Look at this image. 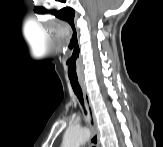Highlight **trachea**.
Masks as SVG:
<instances>
[{"label":"trachea","instance_id":"trachea-1","mask_svg":"<svg viewBox=\"0 0 163 147\" xmlns=\"http://www.w3.org/2000/svg\"><path fill=\"white\" fill-rule=\"evenodd\" d=\"M70 82H71V86H72V89H73L75 95L79 99L81 105L84 107L82 90H81V87L78 83V80H71ZM85 113H86V110H85Z\"/></svg>","mask_w":163,"mask_h":147}]
</instances>
